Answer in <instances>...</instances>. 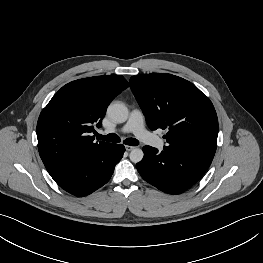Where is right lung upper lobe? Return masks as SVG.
Returning a JSON list of instances; mask_svg holds the SVG:
<instances>
[{"instance_id":"right-lung-upper-lobe-1","label":"right lung upper lobe","mask_w":263,"mask_h":263,"mask_svg":"<svg viewBox=\"0 0 263 263\" xmlns=\"http://www.w3.org/2000/svg\"><path fill=\"white\" fill-rule=\"evenodd\" d=\"M129 86L121 75L95 76L63 86L42 110L37 123L40 157L53 179L110 143H95L107 106Z\"/></svg>"}]
</instances>
